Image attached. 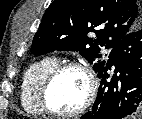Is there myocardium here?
<instances>
[{"label": "myocardium", "instance_id": "obj_1", "mask_svg": "<svg viewBox=\"0 0 142 119\" xmlns=\"http://www.w3.org/2000/svg\"><path fill=\"white\" fill-rule=\"evenodd\" d=\"M68 69L79 70L84 75L87 82V91L83 103L77 109L69 112H61L51 106L49 102V93L58 75ZM96 92L97 81L91 69L86 64L77 61H66L58 63L44 78L40 88L39 100L44 111L50 115L58 117H74L85 112L93 104Z\"/></svg>", "mask_w": 142, "mask_h": 119}]
</instances>
